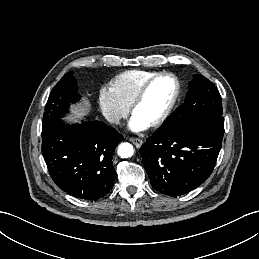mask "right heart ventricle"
Wrapping results in <instances>:
<instances>
[{"label":"right heart ventricle","instance_id":"right-heart-ventricle-1","mask_svg":"<svg viewBox=\"0 0 259 259\" xmlns=\"http://www.w3.org/2000/svg\"><path fill=\"white\" fill-rule=\"evenodd\" d=\"M155 74L157 73L144 70L125 71L114 77L111 89L122 102L130 107L141 86Z\"/></svg>","mask_w":259,"mask_h":259}]
</instances>
